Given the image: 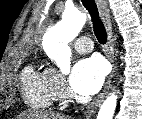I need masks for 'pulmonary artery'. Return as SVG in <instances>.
<instances>
[{"label":"pulmonary artery","instance_id":"1","mask_svg":"<svg viewBox=\"0 0 142 119\" xmlns=\"http://www.w3.org/2000/svg\"><path fill=\"white\" fill-rule=\"evenodd\" d=\"M74 47L79 53H88L93 49V42L88 37H80L75 41Z\"/></svg>","mask_w":142,"mask_h":119}]
</instances>
